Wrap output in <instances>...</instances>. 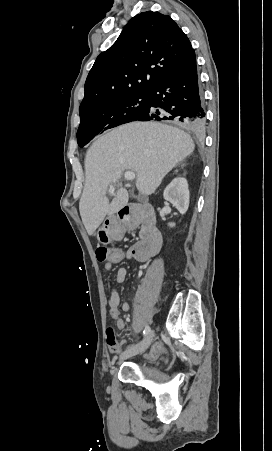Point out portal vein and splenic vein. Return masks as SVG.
Segmentation results:
<instances>
[{"label": "portal vein and splenic vein", "instance_id": "obj_1", "mask_svg": "<svg viewBox=\"0 0 272 451\" xmlns=\"http://www.w3.org/2000/svg\"><path fill=\"white\" fill-rule=\"evenodd\" d=\"M124 178L125 180H134L135 174L134 172H125ZM108 192H110V194H113V192H115L114 186H110Z\"/></svg>", "mask_w": 272, "mask_h": 451}]
</instances>
